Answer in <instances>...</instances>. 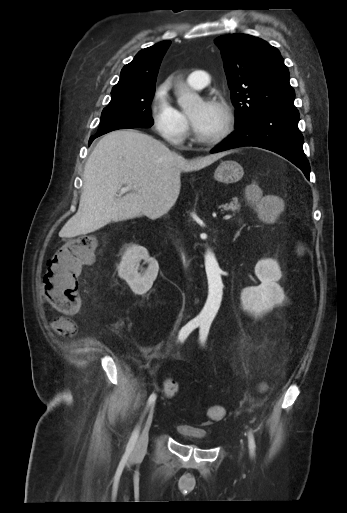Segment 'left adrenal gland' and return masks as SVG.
<instances>
[{
  "label": "left adrenal gland",
  "mask_w": 347,
  "mask_h": 513,
  "mask_svg": "<svg viewBox=\"0 0 347 513\" xmlns=\"http://www.w3.org/2000/svg\"><path fill=\"white\" fill-rule=\"evenodd\" d=\"M239 234H240V230L235 234L234 240H236V238L239 236Z\"/></svg>",
  "instance_id": "left-adrenal-gland-1"
}]
</instances>
